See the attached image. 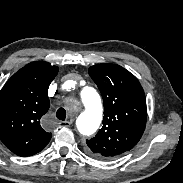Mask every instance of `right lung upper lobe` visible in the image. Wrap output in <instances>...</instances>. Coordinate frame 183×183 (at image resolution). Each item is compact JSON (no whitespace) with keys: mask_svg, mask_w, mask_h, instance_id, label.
<instances>
[{"mask_svg":"<svg viewBox=\"0 0 183 183\" xmlns=\"http://www.w3.org/2000/svg\"><path fill=\"white\" fill-rule=\"evenodd\" d=\"M58 67L48 62L29 63L15 73L0 92V139L18 156L40 152L52 134L41 127L48 111V88Z\"/></svg>","mask_w":183,"mask_h":183,"instance_id":"1","label":"right lung upper lobe"}]
</instances>
